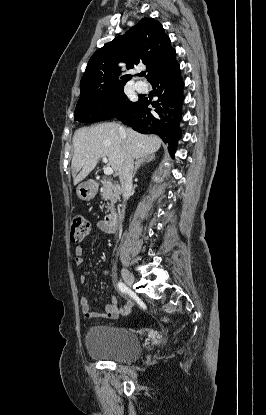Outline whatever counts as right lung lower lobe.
<instances>
[{
  "mask_svg": "<svg viewBox=\"0 0 266 415\" xmlns=\"http://www.w3.org/2000/svg\"><path fill=\"white\" fill-rule=\"evenodd\" d=\"M150 84L158 100L151 102L141 98L116 118L140 133L157 134L168 145L171 153H174L181 138L179 123L184 100V82L179 65L157 75ZM150 104L153 106L152 111L148 108Z\"/></svg>",
  "mask_w": 266,
  "mask_h": 415,
  "instance_id": "1",
  "label": "right lung lower lobe"
}]
</instances>
